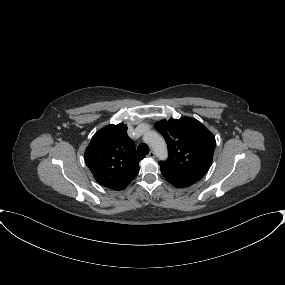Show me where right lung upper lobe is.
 Returning a JSON list of instances; mask_svg holds the SVG:
<instances>
[{
    "mask_svg": "<svg viewBox=\"0 0 285 285\" xmlns=\"http://www.w3.org/2000/svg\"><path fill=\"white\" fill-rule=\"evenodd\" d=\"M144 157L135 150L123 123L99 130L85 151V162L95 180L113 190H123L129 185Z\"/></svg>",
    "mask_w": 285,
    "mask_h": 285,
    "instance_id": "1",
    "label": "right lung upper lobe"
}]
</instances>
